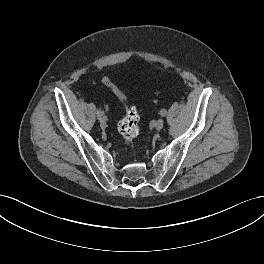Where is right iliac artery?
Wrapping results in <instances>:
<instances>
[{"instance_id":"right-iliac-artery-1","label":"right iliac artery","mask_w":264,"mask_h":264,"mask_svg":"<svg viewBox=\"0 0 264 264\" xmlns=\"http://www.w3.org/2000/svg\"><path fill=\"white\" fill-rule=\"evenodd\" d=\"M103 114H104V112L99 108L97 110V116H98V118L100 119L103 116Z\"/></svg>"}]
</instances>
